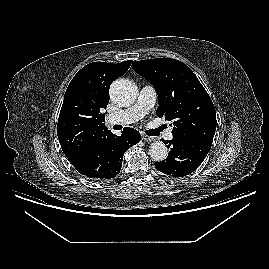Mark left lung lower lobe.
Segmentation results:
<instances>
[{
  "mask_svg": "<svg viewBox=\"0 0 269 269\" xmlns=\"http://www.w3.org/2000/svg\"><path fill=\"white\" fill-rule=\"evenodd\" d=\"M171 148L168 157L155 162V167L164 174L182 177L196 170L208 154L212 141L208 139L180 140L174 138L163 140Z\"/></svg>",
  "mask_w": 269,
  "mask_h": 269,
  "instance_id": "left-lung-lower-lobe-1",
  "label": "left lung lower lobe"
}]
</instances>
